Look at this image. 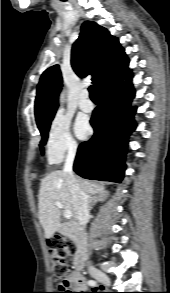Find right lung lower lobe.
<instances>
[{
    "mask_svg": "<svg viewBox=\"0 0 170 293\" xmlns=\"http://www.w3.org/2000/svg\"><path fill=\"white\" fill-rule=\"evenodd\" d=\"M130 76L128 69L98 88L100 103L90 121L94 135L80 144L74 163L84 178L121 182L124 177L128 137L137 125L136 109L130 108L135 95Z\"/></svg>",
    "mask_w": 170,
    "mask_h": 293,
    "instance_id": "98d812e1",
    "label": "right lung lower lobe"
}]
</instances>
